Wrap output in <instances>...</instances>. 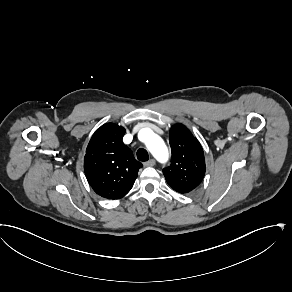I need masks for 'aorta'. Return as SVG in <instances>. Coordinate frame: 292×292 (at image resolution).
Segmentation results:
<instances>
[{"instance_id":"aorta-1","label":"aorta","mask_w":292,"mask_h":292,"mask_svg":"<svg viewBox=\"0 0 292 292\" xmlns=\"http://www.w3.org/2000/svg\"><path fill=\"white\" fill-rule=\"evenodd\" d=\"M143 131L146 132L145 143L148 150L159 162H166L168 159V148L163 139L155 135L149 128H145Z\"/></svg>"}]
</instances>
